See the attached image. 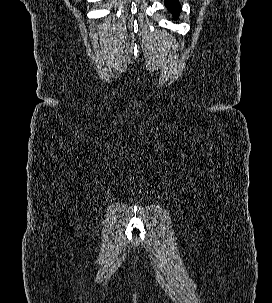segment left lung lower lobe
<instances>
[{"label":"left lung lower lobe","mask_w":272,"mask_h":303,"mask_svg":"<svg viewBox=\"0 0 272 303\" xmlns=\"http://www.w3.org/2000/svg\"><path fill=\"white\" fill-rule=\"evenodd\" d=\"M165 6L173 14L174 19L181 11L179 0H165Z\"/></svg>","instance_id":"obj_1"}]
</instances>
